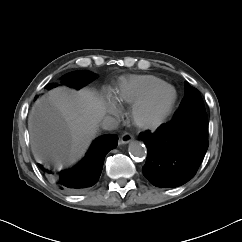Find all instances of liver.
I'll return each mask as SVG.
<instances>
[{
  "label": "liver",
  "instance_id": "obj_1",
  "mask_svg": "<svg viewBox=\"0 0 242 242\" xmlns=\"http://www.w3.org/2000/svg\"><path fill=\"white\" fill-rule=\"evenodd\" d=\"M103 114L93 91L51 90L35 102L29 116L33 153L59 165L76 162L94 138Z\"/></svg>",
  "mask_w": 242,
  "mask_h": 242
}]
</instances>
